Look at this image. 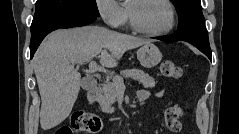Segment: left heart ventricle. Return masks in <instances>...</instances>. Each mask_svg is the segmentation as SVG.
I'll list each match as a JSON object with an SVG mask.
<instances>
[{"label":"left heart ventricle","mask_w":239,"mask_h":134,"mask_svg":"<svg viewBox=\"0 0 239 134\" xmlns=\"http://www.w3.org/2000/svg\"><path fill=\"white\" fill-rule=\"evenodd\" d=\"M130 4H132L131 1L128 2V5ZM134 10L139 23L149 30H162L169 24V9L159 0L142 2L137 4Z\"/></svg>","instance_id":"b2bd125f"}]
</instances>
